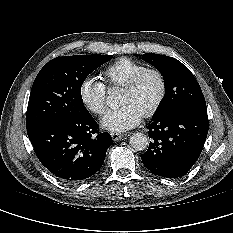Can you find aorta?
<instances>
[{"mask_svg":"<svg viewBox=\"0 0 233 233\" xmlns=\"http://www.w3.org/2000/svg\"><path fill=\"white\" fill-rule=\"evenodd\" d=\"M108 96H107V102L109 104H112L114 102L115 95L112 91H108ZM148 138L146 135L143 133H134L130 139H129V144L132 149L135 151H143L147 148L148 146Z\"/></svg>","mask_w":233,"mask_h":233,"instance_id":"762f6f07","label":"aorta"}]
</instances>
